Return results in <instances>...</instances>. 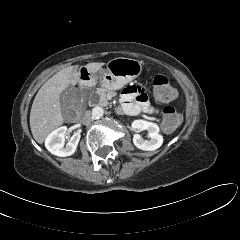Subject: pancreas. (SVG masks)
<instances>
[{
    "instance_id": "obj_1",
    "label": "pancreas",
    "mask_w": 240,
    "mask_h": 240,
    "mask_svg": "<svg viewBox=\"0 0 240 240\" xmlns=\"http://www.w3.org/2000/svg\"><path fill=\"white\" fill-rule=\"evenodd\" d=\"M95 94L99 97V100H98V105L100 106H108L109 105V102H108V92L106 89H103V88H99L95 91Z\"/></svg>"
}]
</instances>
